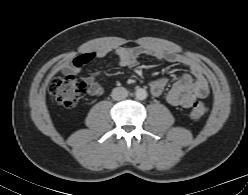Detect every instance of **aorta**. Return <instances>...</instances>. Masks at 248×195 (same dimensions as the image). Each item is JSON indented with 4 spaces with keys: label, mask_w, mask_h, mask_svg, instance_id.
<instances>
[{
    "label": "aorta",
    "mask_w": 248,
    "mask_h": 195,
    "mask_svg": "<svg viewBox=\"0 0 248 195\" xmlns=\"http://www.w3.org/2000/svg\"><path fill=\"white\" fill-rule=\"evenodd\" d=\"M135 95H136V98H137L138 100H144V99L147 98V92H146L145 89H142V88H138V89L136 90Z\"/></svg>",
    "instance_id": "1"
}]
</instances>
